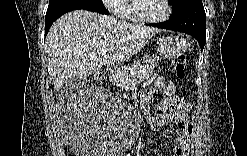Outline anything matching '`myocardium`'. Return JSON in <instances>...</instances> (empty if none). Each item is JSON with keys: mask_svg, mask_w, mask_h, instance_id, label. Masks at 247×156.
Listing matches in <instances>:
<instances>
[{"mask_svg": "<svg viewBox=\"0 0 247 156\" xmlns=\"http://www.w3.org/2000/svg\"><path fill=\"white\" fill-rule=\"evenodd\" d=\"M163 2V5L165 7V11L162 15L156 16V17H146L140 15L137 10H136V2L137 1H130L129 3V14L131 18L135 21L141 22V23H160L165 20H167L172 12L171 5L168 0H161Z\"/></svg>", "mask_w": 247, "mask_h": 156, "instance_id": "1", "label": "myocardium"}]
</instances>
